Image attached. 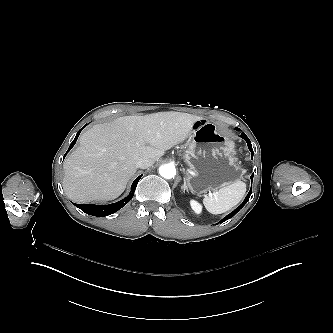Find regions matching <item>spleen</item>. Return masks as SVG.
<instances>
[{"mask_svg":"<svg viewBox=\"0 0 333 333\" xmlns=\"http://www.w3.org/2000/svg\"><path fill=\"white\" fill-rule=\"evenodd\" d=\"M246 192V183L242 180L220 188L214 195L204 196L202 203L211 214H220L236 206Z\"/></svg>","mask_w":333,"mask_h":333,"instance_id":"1","label":"spleen"}]
</instances>
